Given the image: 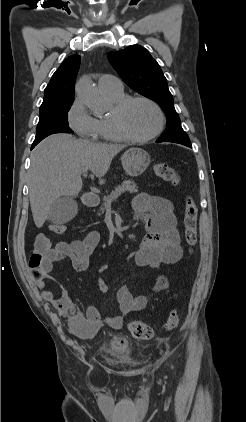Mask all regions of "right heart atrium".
Masks as SVG:
<instances>
[{"mask_svg": "<svg viewBox=\"0 0 246 422\" xmlns=\"http://www.w3.org/2000/svg\"><path fill=\"white\" fill-rule=\"evenodd\" d=\"M68 123L71 129L86 140H97L100 137L98 119L93 117L81 99L76 98L68 110Z\"/></svg>", "mask_w": 246, "mask_h": 422, "instance_id": "1", "label": "right heart atrium"}]
</instances>
